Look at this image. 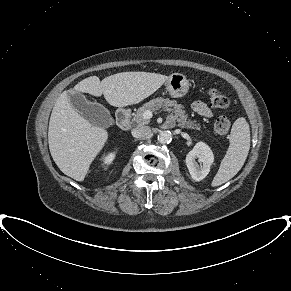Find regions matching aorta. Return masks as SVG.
<instances>
[{
  "label": "aorta",
  "instance_id": "aorta-1",
  "mask_svg": "<svg viewBox=\"0 0 291 291\" xmlns=\"http://www.w3.org/2000/svg\"><path fill=\"white\" fill-rule=\"evenodd\" d=\"M157 140L161 144H168L172 140V133L170 131H162L159 133Z\"/></svg>",
  "mask_w": 291,
  "mask_h": 291
}]
</instances>
